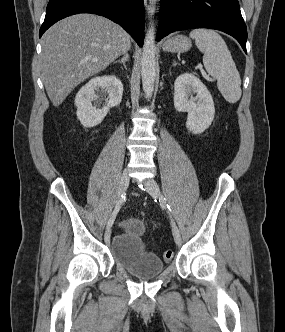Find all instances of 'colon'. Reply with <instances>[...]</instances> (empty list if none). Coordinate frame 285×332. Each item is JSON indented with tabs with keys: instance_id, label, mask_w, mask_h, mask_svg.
<instances>
[{
	"instance_id": "1",
	"label": "colon",
	"mask_w": 285,
	"mask_h": 332,
	"mask_svg": "<svg viewBox=\"0 0 285 332\" xmlns=\"http://www.w3.org/2000/svg\"><path fill=\"white\" fill-rule=\"evenodd\" d=\"M172 258H173V252L171 251V250H167L164 254H163V259L165 260V261H170V260H172Z\"/></svg>"
}]
</instances>
